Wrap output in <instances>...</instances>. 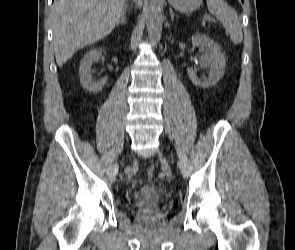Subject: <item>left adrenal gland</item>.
<instances>
[{"instance_id": "obj_1", "label": "left adrenal gland", "mask_w": 295, "mask_h": 250, "mask_svg": "<svg viewBox=\"0 0 295 250\" xmlns=\"http://www.w3.org/2000/svg\"><path fill=\"white\" fill-rule=\"evenodd\" d=\"M170 15H171V21L173 22L175 15L171 9H170Z\"/></svg>"}]
</instances>
